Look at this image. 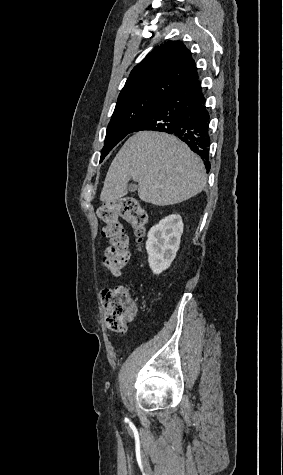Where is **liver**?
<instances>
[{"label": "liver", "mask_w": 283, "mask_h": 475, "mask_svg": "<svg viewBox=\"0 0 283 475\" xmlns=\"http://www.w3.org/2000/svg\"><path fill=\"white\" fill-rule=\"evenodd\" d=\"M205 176L201 158L176 136L137 132L111 162L100 200H124L132 178L138 182V196L143 202L155 206L179 204L204 190Z\"/></svg>", "instance_id": "6515ba94"}]
</instances>
